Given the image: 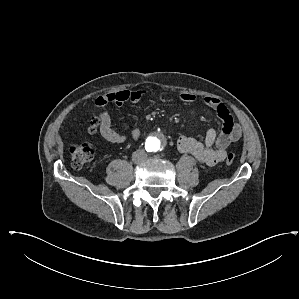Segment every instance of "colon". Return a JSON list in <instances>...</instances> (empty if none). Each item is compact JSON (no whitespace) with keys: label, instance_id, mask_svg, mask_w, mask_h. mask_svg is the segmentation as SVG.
Listing matches in <instances>:
<instances>
[{"label":"colon","instance_id":"5ec220e1","mask_svg":"<svg viewBox=\"0 0 299 299\" xmlns=\"http://www.w3.org/2000/svg\"><path fill=\"white\" fill-rule=\"evenodd\" d=\"M97 118H91L89 121L88 131L94 133L96 131ZM72 164L76 168H81L93 158V147L90 142L85 141L76 143L69 148ZM235 160V154L229 153L226 159L227 165H231Z\"/></svg>","mask_w":299,"mask_h":299}]
</instances>
